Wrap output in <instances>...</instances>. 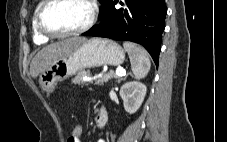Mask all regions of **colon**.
Here are the masks:
<instances>
[{
    "label": "colon",
    "mask_w": 227,
    "mask_h": 142,
    "mask_svg": "<svg viewBox=\"0 0 227 142\" xmlns=\"http://www.w3.org/2000/svg\"><path fill=\"white\" fill-rule=\"evenodd\" d=\"M82 135H83V126L81 125V123H76L73 126L70 137L75 141H79L81 140Z\"/></svg>",
    "instance_id": "obj_1"
}]
</instances>
